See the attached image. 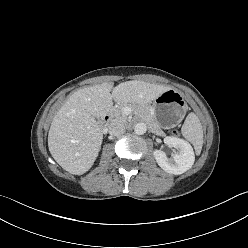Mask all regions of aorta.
I'll return each mask as SVG.
<instances>
[{
	"mask_svg": "<svg viewBox=\"0 0 248 248\" xmlns=\"http://www.w3.org/2000/svg\"><path fill=\"white\" fill-rule=\"evenodd\" d=\"M147 131V126L145 123H137L134 126V132L138 135H143Z\"/></svg>",
	"mask_w": 248,
	"mask_h": 248,
	"instance_id": "1",
	"label": "aorta"
}]
</instances>
